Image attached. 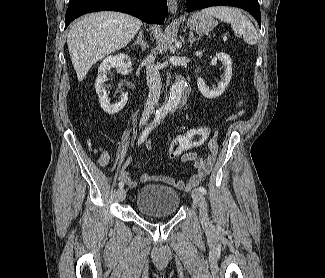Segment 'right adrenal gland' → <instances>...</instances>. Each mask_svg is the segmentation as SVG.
<instances>
[{"label":"right adrenal gland","instance_id":"obj_1","mask_svg":"<svg viewBox=\"0 0 325 278\" xmlns=\"http://www.w3.org/2000/svg\"><path fill=\"white\" fill-rule=\"evenodd\" d=\"M133 45H140L142 51H144L148 47V44H147V41L145 40L144 33H143L142 29L139 30L137 39L133 43Z\"/></svg>","mask_w":325,"mask_h":278}]
</instances>
